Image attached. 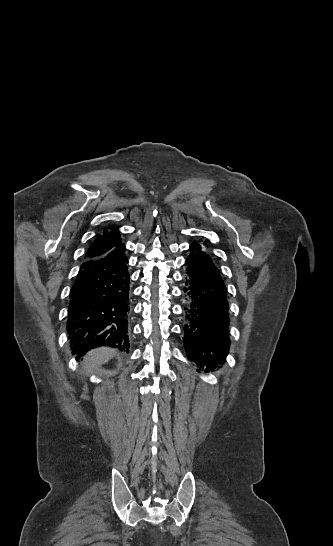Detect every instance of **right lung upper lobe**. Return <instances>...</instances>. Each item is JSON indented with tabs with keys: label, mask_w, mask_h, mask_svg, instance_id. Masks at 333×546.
<instances>
[{
	"label": "right lung upper lobe",
	"mask_w": 333,
	"mask_h": 546,
	"mask_svg": "<svg viewBox=\"0 0 333 546\" xmlns=\"http://www.w3.org/2000/svg\"><path fill=\"white\" fill-rule=\"evenodd\" d=\"M120 245L122 243L118 228H111L110 232L105 229L102 236H99L92 246H90L84 258L93 259L100 257Z\"/></svg>",
	"instance_id": "1"
}]
</instances>
